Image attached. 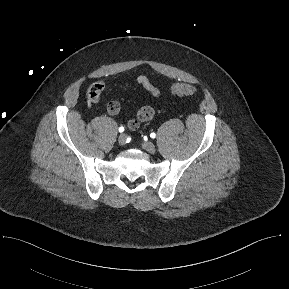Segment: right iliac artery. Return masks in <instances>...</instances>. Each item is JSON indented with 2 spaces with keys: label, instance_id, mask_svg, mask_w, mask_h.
<instances>
[{
  "label": "right iliac artery",
  "instance_id": "right-iliac-artery-1",
  "mask_svg": "<svg viewBox=\"0 0 289 289\" xmlns=\"http://www.w3.org/2000/svg\"><path fill=\"white\" fill-rule=\"evenodd\" d=\"M125 129H124V127L122 126V127H119V132H123Z\"/></svg>",
  "mask_w": 289,
  "mask_h": 289
}]
</instances>
